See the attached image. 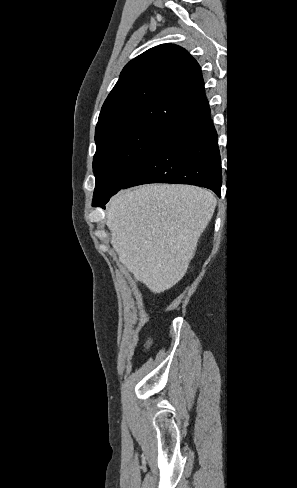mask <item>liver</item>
<instances>
[{
    "mask_svg": "<svg viewBox=\"0 0 297 488\" xmlns=\"http://www.w3.org/2000/svg\"><path fill=\"white\" fill-rule=\"evenodd\" d=\"M216 202L209 190L189 185L120 191L106 220L119 261L153 293L170 289L185 275Z\"/></svg>",
    "mask_w": 297,
    "mask_h": 488,
    "instance_id": "1",
    "label": "liver"
}]
</instances>
